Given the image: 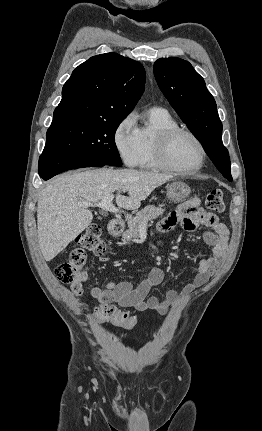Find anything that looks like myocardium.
I'll use <instances>...</instances> for the list:
<instances>
[{"instance_id": "obj_1", "label": "myocardium", "mask_w": 262, "mask_h": 431, "mask_svg": "<svg viewBox=\"0 0 262 431\" xmlns=\"http://www.w3.org/2000/svg\"><path fill=\"white\" fill-rule=\"evenodd\" d=\"M180 134H184L192 138L198 145L200 150V162L197 167L192 170H184L174 165L169 157V147L172 139ZM155 155L160 168L183 176H192L199 172L205 165L207 159L206 148L201 139L192 131L182 127H172L161 130L156 138Z\"/></svg>"}]
</instances>
